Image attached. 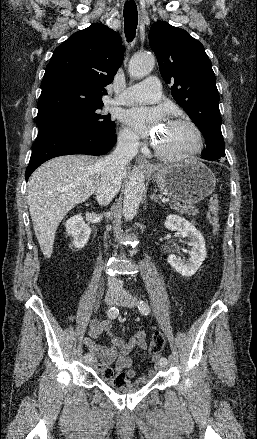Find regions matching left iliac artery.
<instances>
[{
	"instance_id": "1",
	"label": "left iliac artery",
	"mask_w": 257,
	"mask_h": 439,
	"mask_svg": "<svg viewBox=\"0 0 257 439\" xmlns=\"http://www.w3.org/2000/svg\"><path fill=\"white\" fill-rule=\"evenodd\" d=\"M138 309L144 315H147L150 312V308H149L148 304L145 301H143V300L139 301ZM159 362L163 363V364H167V359L165 357H162Z\"/></svg>"
}]
</instances>
